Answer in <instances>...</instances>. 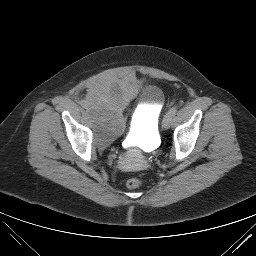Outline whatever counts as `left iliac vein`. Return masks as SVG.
I'll return each mask as SVG.
<instances>
[{
    "label": "left iliac vein",
    "instance_id": "left-iliac-vein-1",
    "mask_svg": "<svg viewBox=\"0 0 256 256\" xmlns=\"http://www.w3.org/2000/svg\"><path fill=\"white\" fill-rule=\"evenodd\" d=\"M173 116L168 112L163 119V128L169 129L172 123Z\"/></svg>",
    "mask_w": 256,
    "mask_h": 256
}]
</instances>
